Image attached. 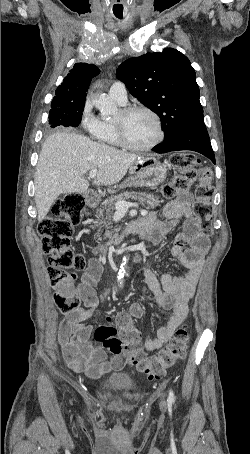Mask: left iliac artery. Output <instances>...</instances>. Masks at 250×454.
<instances>
[{
	"label": "left iliac artery",
	"mask_w": 250,
	"mask_h": 454,
	"mask_svg": "<svg viewBox=\"0 0 250 454\" xmlns=\"http://www.w3.org/2000/svg\"><path fill=\"white\" fill-rule=\"evenodd\" d=\"M167 401L169 404H172L175 401V396H174V392L172 389L169 390V395H168Z\"/></svg>",
	"instance_id": "1"
}]
</instances>
